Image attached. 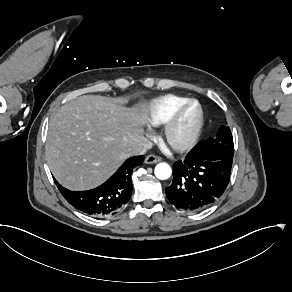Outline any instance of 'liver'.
I'll return each mask as SVG.
<instances>
[{
  "label": "liver",
  "instance_id": "liver-1",
  "mask_svg": "<svg viewBox=\"0 0 292 292\" xmlns=\"http://www.w3.org/2000/svg\"><path fill=\"white\" fill-rule=\"evenodd\" d=\"M149 103L131 108L110 98L84 95L51 118L45 159L64 187L83 191L104 183L145 142Z\"/></svg>",
  "mask_w": 292,
  "mask_h": 292
}]
</instances>
